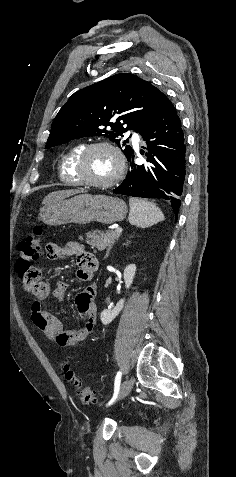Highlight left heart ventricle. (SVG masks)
Wrapping results in <instances>:
<instances>
[{
    "instance_id": "1",
    "label": "left heart ventricle",
    "mask_w": 236,
    "mask_h": 477,
    "mask_svg": "<svg viewBox=\"0 0 236 477\" xmlns=\"http://www.w3.org/2000/svg\"><path fill=\"white\" fill-rule=\"evenodd\" d=\"M116 171V157L106 148L93 149L85 158L82 169L85 178L98 182L111 179Z\"/></svg>"
}]
</instances>
